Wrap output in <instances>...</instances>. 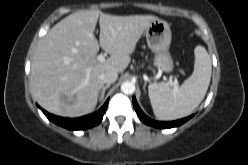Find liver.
<instances>
[{"instance_id":"obj_1","label":"liver","mask_w":248,"mask_h":165,"mask_svg":"<svg viewBox=\"0 0 248 165\" xmlns=\"http://www.w3.org/2000/svg\"><path fill=\"white\" fill-rule=\"evenodd\" d=\"M152 15L114 16L99 10L75 12L52 27L39 41L30 72L31 93L46 111L79 117L94 110L103 88L102 75L122 73ZM99 21V41L94 35ZM110 54L104 62L99 48Z\"/></svg>"}]
</instances>
